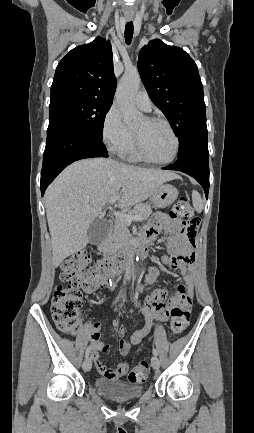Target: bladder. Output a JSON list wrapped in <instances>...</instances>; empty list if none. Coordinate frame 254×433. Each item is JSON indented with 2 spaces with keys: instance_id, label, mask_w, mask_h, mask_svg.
<instances>
[{
  "instance_id": "31cf9c89",
  "label": "bladder",
  "mask_w": 254,
  "mask_h": 433,
  "mask_svg": "<svg viewBox=\"0 0 254 433\" xmlns=\"http://www.w3.org/2000/svg\"><path fill=\"white\" fill-rule=\"evenodd\" d=\"M94 387L102 395L118 400L137 398L144 391V387L141 385L106 378L95 379Z\"/></svg>"
}]
</instances>
